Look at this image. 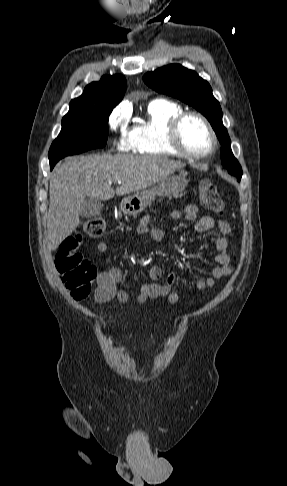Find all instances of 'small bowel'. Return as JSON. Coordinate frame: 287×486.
I'll return each instance as SVG.
<instances>
[{"label":"small bowel","instance_id":"obj_1","mask_svg":"<svg viewBox=\"0 0 287 486\" xmlns=\"http://www.w3.org/2000/svg\"><path fill=\"white\" fill-rule=\"evenodd\" d=\"M168 217L171 219L185 218L187 220H196L195 230L197 232H205L212 229L215 222L210 216L198 217V207L196 205H188L185 210H173L169 212ZM152 214H146L140 218L135 230L137 233L146 235L154 241H159L163 237L162 231L152 226ZM217 228L219 234L214 238V244L217 249L216 262L217 266L212 269L211 276L207 279H200L196 282L198 290H204L216 285L218 279L228 276L232 273L233 267L231 265V256L229 253V244L232 237V230L230 224L220 219L217 221ZM99 252H106L108 244L105 241H100L97 245ZM150 282L142 283L139 288V295L137 302L142 304L147 300H158L166 297L172 304L178 303L180 295L173 291L172 288L176 281L175 273H169L163 278V270L160 266L154 265L149 270ZM123 280V273L120 269L115 267L104 268L98 275L97 287L94 291V300L97 303H105L113 298H116L121 303H126L129 300L128 292L119 288L118 285Z\"/></svg>","mask_w":287,"mask_h":486}]
</instances>
